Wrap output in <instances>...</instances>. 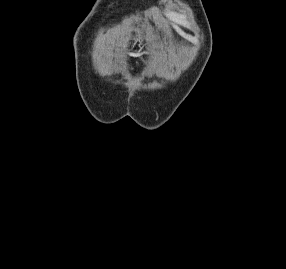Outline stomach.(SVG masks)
<instances>
[{
  "label": "stomach",
  "instance_id": "stomach-1",
  "mask_svg": "<svg viewBox=\"0 0 286 269\" xmlns=\"http://www.w3.org/2000/svg\"><path fill=\"white\" fill-rule=\"evenodd\" d=\"M141 40H142V34L139 33V34H138V41H141Z\"/></svg>",
  "mask_w": 286,
  "mask_h": 269
}]
</instances>
